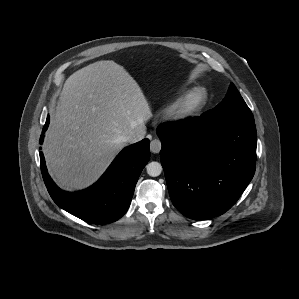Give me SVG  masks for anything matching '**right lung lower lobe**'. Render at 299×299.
<instances>
[{"instance_id":"right-lung-lower-lobe-1","label":"right lung lower lobe","mask_w":299,"mask_h":299,"mask_svg":"<svg viewBox=\"0 0 299 299\" xmlns=\"http://www.w3.org/2000/svg\"><path fill=\"white\" fill-rule=\"evenodd\" d=\"M49 125V116L39 143ZM150 141H142L123 149L102 177L86 190L69 193L59 189L47 172L43 153L40 152L41 172L54 202L72 215L91 223H111L127 211L139 175L150 159Z\"/></svg>"}]
</instances>
